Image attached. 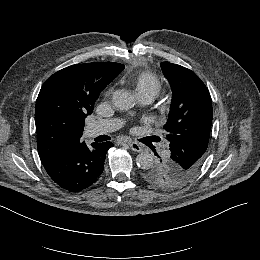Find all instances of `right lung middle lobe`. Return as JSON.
Wrapping results in <instances>:
<instances>
[{
    "label": "right lung middle lobe",
    "instance_id": "right-lung-middle-lobe-1",
    "mask_svg": "<svg viewBox=\"0 0 260 260\" xmlns=\"http://www.w3.org/2000/svg\"><path fill=\"white\" fill-rule=\"evenodd\" d=\"M92 113V111H89V114H91Z\"/></svg>",
    "mask_w": 260,
    "mask_h": 260
}]
</instances>
